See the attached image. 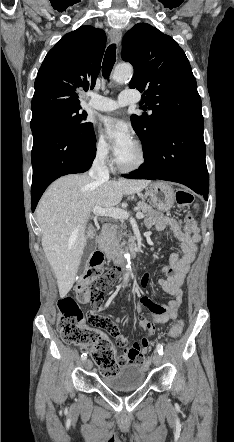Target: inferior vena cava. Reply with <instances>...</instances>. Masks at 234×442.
<instances>
[{
	"label": "inferior vena cava",
	"instance_id": "602c4592",
	"mask_svg": "<svg viewBox=\"0 0 234 442\" xmlns=\"http://www.w3.org/2000/svg\"><path fill=\"white\" fill-rule=\"evenodd\" d=\"M107 155V149H101L97 151L96 158L89 171V176L98 180H108L109 170L105 164V157Z\"/></svg>",
	"mask_w": 234,
	"mask_h": 442
}]
</instances>
